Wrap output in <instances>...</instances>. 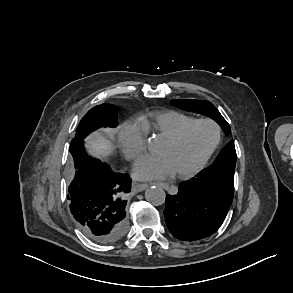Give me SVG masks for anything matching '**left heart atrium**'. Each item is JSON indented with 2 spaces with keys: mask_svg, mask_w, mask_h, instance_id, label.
Instances as JSON below:
<instances>
[{
  "mask_svg": "<svg viewBox=\"0 0 293 293\" xmlns=\"http://www.w3.org/2000/svg\"><path fill=\"white\" fill-rule=\"evenodd\" d=\"M133 171L137 178L144 180L165 179L175 173L170 161L163 154L141 158L135 163Z\"/></svg>",
  "mask_w": 293,
  "mask_h": 293,
  "instance_id": "obj_1",
  "label": "left heart atrium"
}]
</instances>
